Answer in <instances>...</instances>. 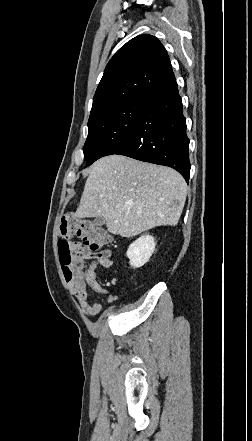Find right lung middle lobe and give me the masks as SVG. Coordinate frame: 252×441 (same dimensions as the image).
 Returning <instances> with one entry per match:
<instances>
[{
    "label": "right lung middle lobe",
    "mask_w": 252,
    "mask_h": 441,
    "mask_svg": "<svg viewBox=\"0 0 252 441\" xmlns=\"http://www.w3.org/2000/svg\"><path fill=\"white\" fill-rule=\"evenodd\" d=\"M145 106L144 99H134L105 108L90 116L88 137L83 152L87 165H91L135 126Z\"/></svg>",
    "instance_id": "right-lung-middle-lobe-1"
}]
</instances>
